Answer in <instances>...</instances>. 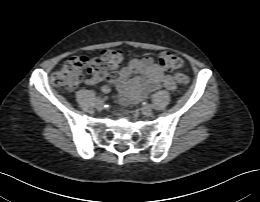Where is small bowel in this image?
<instances>
[{
	"label": "small bowel",
	"instance_id": "1",
	"mask_svg": "<svg viewBox=\"0 0 260 202\" xmlns=\"http://www.w3.org/2000/svg\"><path fill=\"white\" fill-rule=\"evenodd\" d=\"M103 80H107L117 88L120 101L126 104L138 102L161 87L171 91L176 89L173 77L165 74L149 56L131 59L121 68L95 71L85 83L95 85ZM101 91L110 93L111 88L103 85Z\"/></svg>",
	"mask_w": 260,
	"mask_h": 202
}]
</instances>
